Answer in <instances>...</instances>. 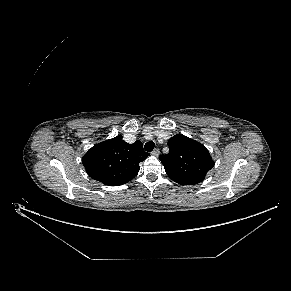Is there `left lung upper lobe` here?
I'll return each instance as SVG.
<instances>
[{"mask_svg": "<svg viewBox=\"0 0 291 291\" xmlns=\"http://www.w3.org/2000/svg\"><path fill=\"white\" fill-rule=\"evenodd\" d=\"M168 146L169 153L161 155L159 159L169 178L176 183L198 184L214 166V161L204 145L182 134L171 137Z\"/></svg>", "mask_w": 291, "mask_h": 291, "instance_id": "left-lung-upper-lobe-1", "label": "left lung upper lobe"}]
</instances>
